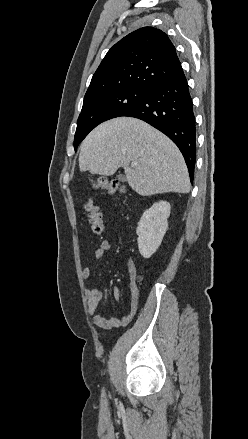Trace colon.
I'll return each mask as SVG.
<instances>
[{
    "label": "colon",
    "instance_id": "colon-1",
    "mask_svg": "<svg viewBox=\"0 0 248 439\" xmlns=\"http://www.w3.org/2000/svg\"><path fill=\"white\" fill-rule=\"evenodd\" d=\"M93 189H104L112 194H121L124 192L122 185L115 180H108L106 178H100L94 182H92ZM85 209L88 213L89 224L91 230L95 234H101L104 229V224L102 220V214L98 208V206L94 203V200L91 197L87 198V202L85 205Z\"/></svg>",
    "mask_w": 248,
    "mask_h": 439
}]
</instances>
